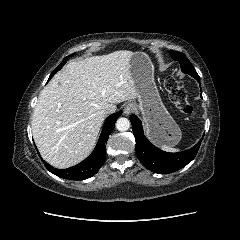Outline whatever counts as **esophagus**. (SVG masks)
I'll return each mask as SVG.
<instances>
[{
    "mask_svg": "<svg viewBox=\"0 0 240 240\" xmlns=\"http://www.w3.org/2000/svg\"><path fill=\"white\" fill-rule=\"evenodd\" d=\"M134 109H135L134 104L128 103V104L124 107L123 112H124L125 115H130V114L134 111Z\"/></svg>",
    "mask_w": 240,
    "mask_h": 240,
    "instance_id": "esophagus-1",
    "label": "esophagus"
}]
</instances>
